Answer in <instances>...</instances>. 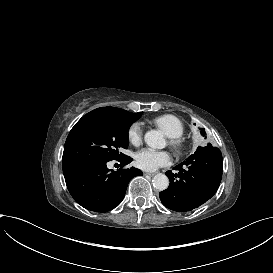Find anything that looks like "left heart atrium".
<instances>
[{"label":"left heart atrium","instance_id":"obj_1","mask_svg":"<svg viewBox=\"0 0 273 273\" xmlns=\"http://www.w3.org/2000/svg\"><path fill=\"white\" fill-rule=\"evenodd\" d=\"M136 161L142 169L156 170L161 166L168 165L171 162V155L168 151L146 147L138 151Z\"/></svg>","mask_w":273,"mask_h":273}]
</instances>
